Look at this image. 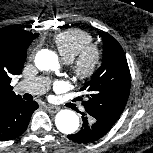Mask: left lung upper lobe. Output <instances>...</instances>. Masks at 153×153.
I'll use <instances>...</instances> for the list:
<instances>
[{
	"label": "left lung upper lobe",
	"mask_w": 153,
	"mask_h": 153,
	"mask_svg": "<svg viewBox=\"0 0 153 153\" xmlns=\"http://www.w3.org/2000/svg\"><path fill=\"white\" fill-rule=\"evenodd\" d=\"M103 40V63L80 89L88 92L82 101L86 114L110 129L123 112L130 92V71L120 44L109 34Z\"/></svg>",
	"instance_id": "5c2ea615"
}]
</instances>
